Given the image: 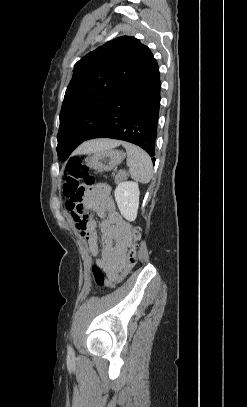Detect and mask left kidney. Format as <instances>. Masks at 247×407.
Returning <instances> with one entry per match:
<instances>
[{"label": "left kidney", "instance_id": "1", "mask_svg": "<svg viewBox=\"0 0 247 407\" xmlns=\"http://www.w3.org/2000/svg\"><path fill=\"white\" fill-rule=\"evenodd\" d=\"M139 186L133 181L120 182L114 192L121 215L128 221H134L139 207Z\"/></svg>", "mask_w": 247, "mask_h": 407}]
</instances>
